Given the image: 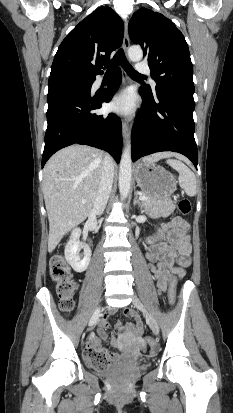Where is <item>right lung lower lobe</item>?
<instances>
[{"label":"right lung lower lobe","instance_id":"right-lung-lower-lobe-1","mask_svg":"<svg viewBox=\"0 0 233 413\" xmlns=\"http://www.w3.org/2000/svg\"><path fill=\"white\" fill-rule=\"evenodd\" d=\"M118 69L113 81L99 95L91 94L95 76L83 82H57L49 85L48 126L42 167L58 150L72 145L84 144L108 151L119 163L122 150L121 121L115 114L96 115L92 111L109 102L121 82Z\"/></svg>","mask_w":233,"mask_h":413}]
</instances>
